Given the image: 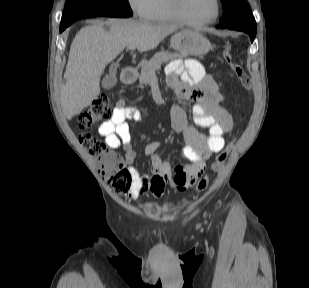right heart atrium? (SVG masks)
Masks as SVG:
<instances>
[{
	"label": "right heart atrium",
	"mask_w": 309,
	"mask_h": 288,
	"mask_svg": "<svg viewBox=\"0 0 309 288\" xmlns=\"http://www.w3.org/2000/svg\"><path fill=\"white\" fill-rule=\"evenodd\" d=\"M129 7L137 16L147 19L153 0H127Z\"/></svg>",
	"instance_id": "1"
}]
</instances>
